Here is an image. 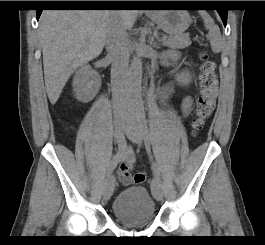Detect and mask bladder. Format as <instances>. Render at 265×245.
Segmentation results:
<instances>
[{
  "label": "bladder",
  "mask_w": 265,
  "mask_h": 245,
  "mask_svg": "<svg viewBox=\"0 0 265 245\" xmlns=\"http://www.w3.org/2000/svg\"><path fill=\"white\" fill-rule=\"evenodd\" d=\"M112 213L121 225L137 227L153 221L156 206L145 187L133 185L117 195L112 205Z\"/></svg>",
  "instance_id": "obj_1"
}]
</instances>
